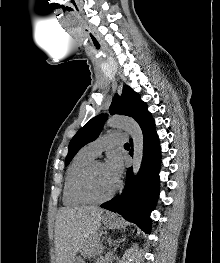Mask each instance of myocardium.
I'll use <instances>...</instances> for the list:
<instances>
[{"label": "myocardium", "instance_id": "obj_1", "mask_svg": "<svg viewBox=\"0 0 220 263\" xmlns=\"http://www.w3.org/2000/svg\"><path fill=\"white\" fill-rule=\"evenodd\" d=\"M101 163L98 160L91 161L81 172L77 180L78 194L89 202L100 203L112 198L119 189V183L117 182L114 188L104 196L95 195L90 188V177L94 167Z\"/></svg>", "mask_w": 220, "mask_h": 263}]
</instances>
